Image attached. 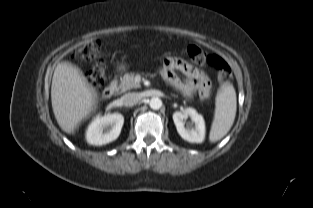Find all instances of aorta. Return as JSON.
Listing matches in <instances>:
<instances>
[{"instance_id": "aorta-1", "label": "aorta", "mask_w": 313, "mask_h": 208, "mask_svg": "<svg viewBox=\"0 0 313 208\" xmlns=\"http://www.w3.org/2000/svg\"><path fill=\"white\" fill-rule=\"evenodd\" d=\"M149 105L152 109L154 110H158L161 108L162 106V101L161 99H159L158 97H153L150 102H149Z\"/></svg>"}]
</instances>
